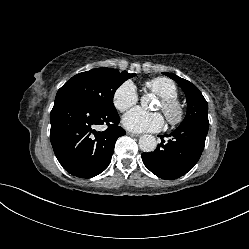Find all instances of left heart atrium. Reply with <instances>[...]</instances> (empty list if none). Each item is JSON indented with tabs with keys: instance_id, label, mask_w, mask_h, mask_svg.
Segmentation results:
<instances>
[{
	"instance_id": "39dd6f15",
	"label": "left heart atrium",
	"mask_w": 249,
	"mask_h": 249,
	"mask_svg": "<svg viewBox=\"0 0 249 249\" xmlns=\"http://www.w3.org/2000/svg\"><path fill=\"white\" fill-rule=\"evenodd\" d=\"M122 123L134 132L157 131L163 127L164 119L160 113H150L141 108H134L123 117Z\"/></svg>"
}]
</instances>
